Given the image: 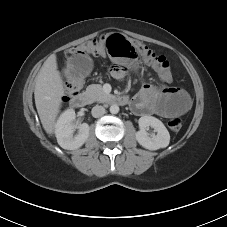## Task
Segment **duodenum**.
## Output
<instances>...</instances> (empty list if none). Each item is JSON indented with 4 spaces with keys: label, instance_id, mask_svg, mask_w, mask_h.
<instances>
[{
    "label": "duodenum",
    "instance_id": "410a0bca",
    "mask_svg": "<svg viewBox=\"0 0 227 227\" xmlns=\"http://www.w3.org/2000/svg\"><path fill=\"white\" fill-rule=\"evenodd\" d=\"M89 101L90 95L87 92H81L72 98L71 105L75 108H81L86 106ZM114 102L119 105H125L128 102V99L125 96H117L114 98Z\"/></svg>",
    "mask_w": 227,
    "mask_h": 227
}]
</instances>
